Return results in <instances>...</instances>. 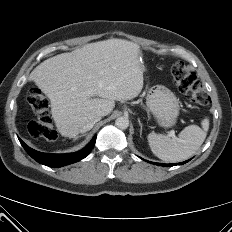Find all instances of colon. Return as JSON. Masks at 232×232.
<instances>
[{
	"label": "colon",
	"mask_w": 232,
	"mask_h": 232,
	"mask_svg": "<svg viewBox=\"0 0 232 232\" xmlns=\"http://www.w3.org/2000/svg\"><path fill=\"white\" fill-rule=\"evenodd\" d=\"M172 80L176 88L185 94L192 102L207 104L210 98L204 90L196 73L183 62H176L171 67ZM36 118L29 123L28 134L32 138H42L53 141L57 133L48 116L49 101L38 88H31L26 95Z\"/></svg>",
	"instance_id": "1"
}]
</instances>
